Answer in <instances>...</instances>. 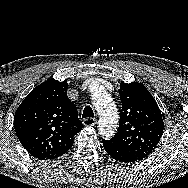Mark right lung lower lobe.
Here are the masks:
<instances>
[{"instance_id":"right-lung-lower-lobe-1","label":"right lung lower lobe","mask_w":188,"mask_h":188,"mask_svg":"<svg viewBox=\"0 0 188 188\" xmlns=\"http://www.w3.org/2000/svg\"><path fill=\"white\" fill-rule=\"evenodd\" d=\"M66 153V152H65ZM64 153H62V154H59V155H56V156H54V157H52V158H50V159H54V158H57V157H59V156H61V155H63Z\"/></svg>"}]
</instances>
